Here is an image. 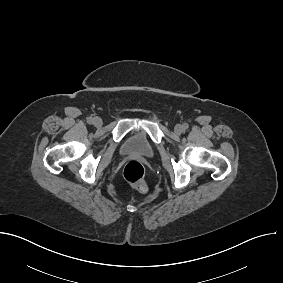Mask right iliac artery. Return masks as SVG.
Listing matches in <instances>:
<instances>
[{
	"mask_svg": "<svg viewBox=\"0 0 283 283\" xmlns=\"http://www.w3.org/2000/svg\"><path fill=\"white\" fill-rule=\"evenodd\" d=\"M87 122H88L89 124H92V123H93V118H92V117H89V118L87 119Z\"/></svg>",
	"mask_w": 283,
	"mask_h": 283,
	"instance_id": "right-iliac-artery-1",
	"label": "right iliac artery"
}]
</instances>
